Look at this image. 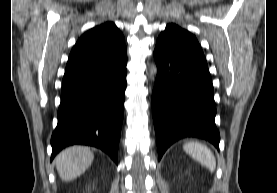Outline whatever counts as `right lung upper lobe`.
Masks as SVG:
<instances>
[{"mask_svg":"<svg viewBox=\"0 0 277 193\" xmlns=\"http://www.w3.org/2000/svg\"><path fill=\"white\" fill-rule=\"evenodd\" d=\"M126 51L125 39L112 22H106L84 33L73 47L66 74L102 66Z\"/></svg>","mask_w":277,"mask_h":193,"instance_id":"right-lung-upper-lobe-1","label":"right lung upper lobe"}]
</instances>
